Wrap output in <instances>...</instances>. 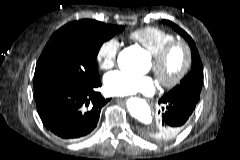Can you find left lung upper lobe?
<instances>
[{
  "label": "left lung upper lobe",
  "instance_id": "left-lung-upper-lobe-1",
  "mask_svg": "<svg viewBox=\"0 0 240 160\" xmlns=\"http://www.w3.org/2000/svg\"><path fill=\"white\" fill-rule=\"evenodd\" d=\"M165 24L171 25L172 28L177 31L182 37L188 42L191 53H192V69L189 74L181 80L180 84L173 88L168 95L173 96H184L188 98H193L199 101L200 92L202 89L203 82V69L202 62L195 46L193 39L181 28L172 23L169 20L162 21Z\"/></svg>",
  "mask_w": 240,
  "mask_h": 160
}]
</instances>
